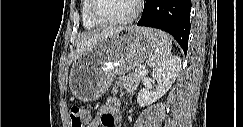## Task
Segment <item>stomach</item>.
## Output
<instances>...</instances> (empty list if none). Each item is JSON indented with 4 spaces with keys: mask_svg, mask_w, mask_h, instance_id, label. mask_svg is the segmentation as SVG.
Segmentation results:
<instances>
[{
    "mask_svg": "<svg viewBox=\"0 0 243 127\" xmlns=\"http://www.w3.org/2000/svg\"><path fill=\"white\" fill-rule=\"evenodd\" d=\"M150 31L147 28H123L77 57L69 75L73 96L82 101L96 100L110 87L116 74H125L141 65L153 51Z\"/></svg>",
    "mask_w": 243,
    "mask_h": 127,
    "instance_id": "0dacf381",
    "label": "stomach"
}]
</instances>
